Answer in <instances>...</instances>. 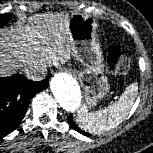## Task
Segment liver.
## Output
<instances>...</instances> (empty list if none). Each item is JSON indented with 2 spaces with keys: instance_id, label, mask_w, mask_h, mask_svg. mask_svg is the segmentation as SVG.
<instances>
[{
  "instance_id": "obj_1",
  "label": "liver",
  "mask_w": 153,
  "mask_h": 153,
  "mask_svg": "<svg viewBox=\"0 0 153 153\" xmlns=\"http://www.w3.org/2000/svg\"><path fill=\"white\" fill-rule=\"evenodd\" d=\"M42 19L41 15L34 16L29 19L31 26L0 31V77L32 63L59 64L70 59L68 19L49 21L47 25Z\"/></svg>"
}]
</instances>
